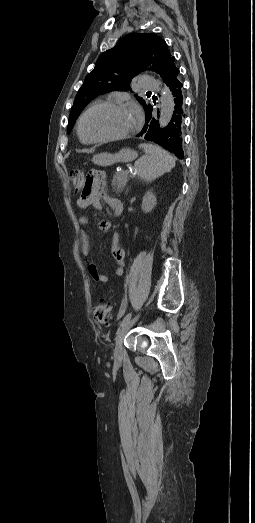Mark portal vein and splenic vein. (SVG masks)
I'll return each instance as SVG.
<instances>
[{
  "label": "portal vein and splenic vein",
  "instance_id": "obj_1",
  "mask_svg": "<svg viewBox=\"0 0 255 523\" xmlns=\"http://www.w3.org/2000/svg\"><path fill=\"white\" fill-rule=\"evenodd\" d=\"M123 172H124L125 174H128V173L130 172V169H129L128 167H125V168L123 169Z\"/></svg>",
  "mask_w": 255,
  "mask_h": 523
}]
</instances>
